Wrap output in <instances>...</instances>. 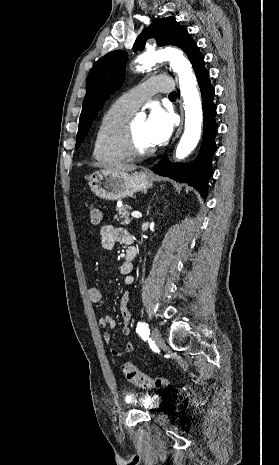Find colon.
Listing matches in <instances>:
<instances>
[{
    "label": "colon",
    "instance_id": "obj_1",
    "mask_svg": "<svg viewBox=\"0 0 279 465\" xmlns=\"http://www.w3.org/2000/svg\"><path fill=\"white\" fill-rule=\"evenodd\" d=\"M89 218L92 224L98 225L102 221V212L96 205H90L88 208ZM122 373L126 379L134 385L143 388H164L169 386L170 381L162 377H152L141 373L132 363H125L121 367Z\"/></svg>",
    "mask_w": 279,
    "mask_h": 465
}]
</instances>
